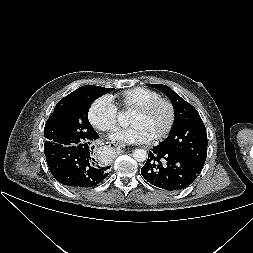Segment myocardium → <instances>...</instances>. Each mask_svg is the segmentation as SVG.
I'll use <instances>...</instances> for the list:
<instances>
[{
    "mask_svg": "<svg viewBox=\"0 0 253 253\" xmlns=\"http://www.w3.org/2000/svg\"><path fill=\"white\" fill-rule=\"evenodd\" d=\"M158 105H165L168 110H169V121L166 125V127L163 129V131L158 134L156 137H154V140L160 141L164 138H166L170 132L172 131L175 122H176V109L174 104L166 98H157L154 100H151L145 104H142L134 109L133 112H138V113H148L152 111L155 107Z\"/></svg>",
    "mask_w": 253,
    "mask_h": 253,
    "instance_id": "f54148a6",
    "label": "myocardium"
}]
</instances>
